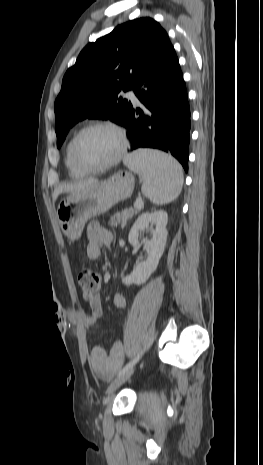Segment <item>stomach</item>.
<instances>
[{
  "mask_svg": "<svg viewBox=\"0 0 263 465\" xmlns=\"http://www.w3.org/2000/svg\"><path fill=\"white\" fill-rule=\"evenodd\" d=\"M134 184L131 173L119 171L104 181L69 193L60 201L57 209V218L63 233L71 240L78 239L89 219L129 198Z\"/></svg>",
  "mask_w": 263,
  "mask_h": 465,
  "instance_id": "1",
  "label": "stomach"
}]
</instances>
